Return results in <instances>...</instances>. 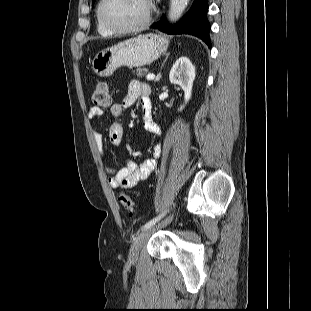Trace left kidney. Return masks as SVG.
Returning a JSON list of instances; mask_svg holds the SVG:
<instances>
[{
    "label": "left kidney",
    "mask_w": 311,
    "mask_h": 311,
    "mask_svg": "<svg viewBox=\"0 0 311 311\" xmlns=\"http://www.w3.org/2000/svg\"><path fill=\"white\" fill-rule=\"evenodd\" d=\"M195 79V68L187 57H180L176 60L169 73V80L173 84H178L184 91L185 104L192 95L193 81ZM184 105L180 106V111Z\"/></svg>",
    "instance_id": "obj_1"
}]
</instances>
